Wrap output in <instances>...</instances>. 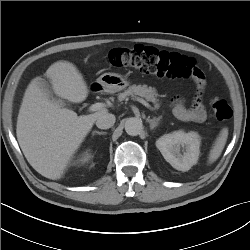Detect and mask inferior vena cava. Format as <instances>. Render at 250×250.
Segmentation results:
<instances>
[{"label": "inferior vena cava", "instance_id": "inferior-vena-cava-1", "mask_svg": "<svg viewBox=\"0 0 250 250\" xmlns=\"http://www.w3.org/2000/svg\"><path fill=\"white\" fill-rule=\"evenodd\" d=\"M115 116L111 113H105L100 115L96 120V126L100 129H109L115 123Z\"/></svg>", "mask_w": 250, "mask_h": 250}]
</instances>
